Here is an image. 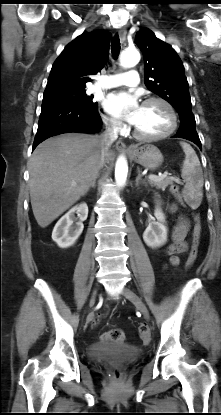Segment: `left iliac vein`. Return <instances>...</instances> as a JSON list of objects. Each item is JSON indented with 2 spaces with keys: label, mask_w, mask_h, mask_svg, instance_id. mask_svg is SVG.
<instances>
[{
  "label": "left iliac vein",
  "mask_w": 221,
  "mask_h": 415,
  "mask_svg": "<svg viewBox=\"0 0 221 415\" xmlns=\"http://www.w3.org/2000/svg\"><path fill=\"white\" fill-rule=\"evenodd\" d=\"M122 294L137 307V309L146 319H149V311L144 302L136 293H134L131 289L125 287L123 288Z\"/></svg>",
  "instance_id": "1"
}]
</instances>
